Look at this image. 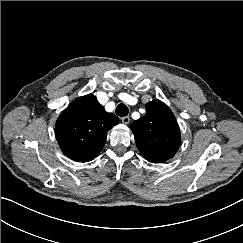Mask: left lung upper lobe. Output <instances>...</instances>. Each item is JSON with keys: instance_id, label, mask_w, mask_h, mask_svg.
<instances>
[{"instance_id": "obj_1", "label": "left lung upper lobe", "mask_w": 243, "mask_h": 243, "mask_svg": "<svg viewBox=\"0 0 243 243\" xmlns=\"http://www.w3.org/2000/svg\"><path fill=\"white\" fill-rule=\"evenodd\" d=\"M147 114L131 124L136 145L146 160L163 163L177 152L180 129L170 108L158 99L146 105Z\"/></svg>"}]
</instances>
